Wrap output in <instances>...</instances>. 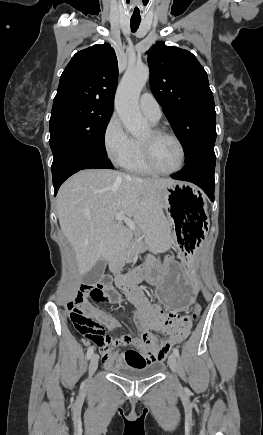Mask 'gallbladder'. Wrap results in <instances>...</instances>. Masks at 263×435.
<instances>
[{
    "mask_svg": "<svg viewBox=\"0 0 263 435\" xmlns=\"http://www.w3.org/2000/svg\"><path fill=\"white\" fill-rule=\"evenodd\" d=\"M105 270L104 260H99L95 266L83 276V283L87 285L96 284L102 277Z\"/></svg>",
    "mask_w": 263,
    "mask_h": 435,
    "instance_id": "gallbladder-1",
    "label": "gallbladder"
}]
</instances>
